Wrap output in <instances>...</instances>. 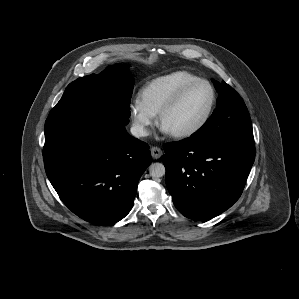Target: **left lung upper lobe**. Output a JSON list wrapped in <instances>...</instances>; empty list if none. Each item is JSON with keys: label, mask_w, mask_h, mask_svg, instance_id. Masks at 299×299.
<instances>
[{"label": "left lung upper lobe", "mask_w": 299, "mask_h": 299, "mask_svg": "<svg viewBox=\"0 0 299 299\" xmlns=\"http://www.w3.org/2000/svg\"><path fill=\"white\" fill-rule=\"evenodd\" d=\"M212 81L218 92L217 107L191 137L202 140L253 139L251 118L243 99L224 81Z\"/></svg>", "instance_id": "5c2ea615"}]
</instances>
